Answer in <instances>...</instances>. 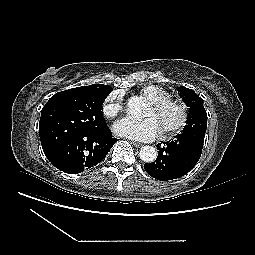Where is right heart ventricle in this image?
Listing matches in <instances>:
<instances>
[{"instance_id":"obj_1","label":"right heart ventricle","mask_w":255,"mask_h":255,"mask_svg":"<svg viewBox=\"0 0 255 255\" xmlns=\"http://www.w3.org/2000/svg\"><path fill=\"white\" fill-rule=\"evenodd\" d=\"M140 94L142 95V97H144L150 102L159 101L169 97V92L166 89L157 85L144 86L141 89Z\"/></svg>"}]
</instances>
